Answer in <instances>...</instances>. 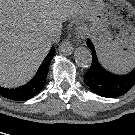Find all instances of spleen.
Returning <instances> with one entry per match:
<instances>
[{
	"instance_id": "3e777b00",
	"label": "spleen",
	"mask_w": 135,
	"mask_h": 135,
	"mask_svg": "<svg viewBox=\"0 0 135 135\" xmlns=\"http://www.w3.org/2000/svg\"><path fill=\"white\" fill-rule=\"evenodd\" d=\"M103 64L115 73H125L135 65V54L131 52H118L108 59H101Z\"/></svg>"
}]
</instances>
